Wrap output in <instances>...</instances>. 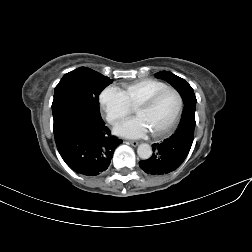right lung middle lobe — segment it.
Here are the masks:
<instances>
[{
	"label": "right lung middle lobe",
	"instance_id": "obj_1",
	"mask_svg": "<svg viewBox=\"0 0 252 252\" xmlns=\"http://www.w3.org/2000/svg\"><path fill=\"white\" fill-rule=\"evenodd\" d=\"M112 82L109 77L86 67L65 74L55 87L53 115L65 109H76L101 117L99 94Z\"/></svg>",
	"mask_w": 252,
	"mask_h": 252
}]
</instances>
